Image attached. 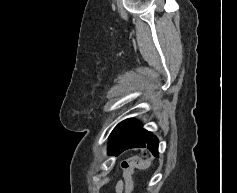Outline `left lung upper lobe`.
<instances>
[{
  "label": "left lung upper lobe",
  "instance_id": "1",
  "mask_svg": "<svg viewBox=\"0 0 237 193\" xmlns=\"http://www.w3.org/2000/svg\"><path fill=\"white\" fill-rule=\"evenodd\" d=\"M130 119H126L122 122H120L112 131V133L110 134L109 137V146H112L113 144H115L119 138L121 137V135L123 134V132L125 131L126 127L129 124Z\"/></svg>",
  "mask_w": 237,
  "mask_h": 193
}]
</instances>
